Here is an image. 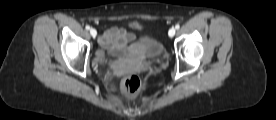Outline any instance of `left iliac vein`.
Instances as JSON below:
<instances>
[{
	"mask_svg": "<svg viewBox=\"0 0 276 120\" xmlns=\"http://www.w3.org/2000/svg\"><path fill=\"white\" fill-rule=\"evenodd\" d=\"M175 33H176V30H175L174 28H171V29L169 30V32H168V35H169L170 37H173V36L175 35Z\"/></svg>",
	"mask_w": 276,
	"mask_h": 120,
	"instance_id": "obj_1",
	"label": "left iliac vein"
}]
</instances>
